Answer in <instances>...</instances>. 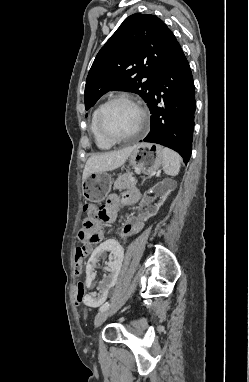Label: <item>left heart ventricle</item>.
<instances>
[{
	"mask_svg": "<svg viewBox=\"0 0 249 382\" xmlns=\"http://www.w3.org/2000/svg\"><path fill=\"white\" fill-rule=\"evenodd\" d=\"M140 122V114L128 102H115L105 111L103 125L113 137H125L133 134Z\"/></svg>",
	"mask_w": 249,
	"mask_h": 382,
	"instance_id": "left-heart-ventricle-1",
	"label": "left heart ventricle"
}]
</instances>
